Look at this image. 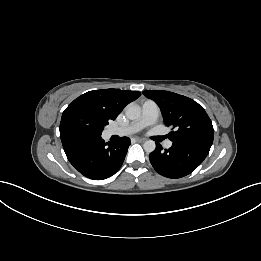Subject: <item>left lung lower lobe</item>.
I'll list each match as a JSON object with an SVG mask.
<instances>
[{"instance_id": "1", "label": "left lung lower lobe", "mask_w": 261, "mask_h": 261, "mask_svg": "<svg viewBox=\"0 0 261 261\" xmlns=\"http://www.w3.org/2000/svg\"><path fill=\"white\" fill-rule=\"evenodd\" d=\"M210 146L196 143H172L169 149L156 143L149 159L154 169L168 178H181L192 173L206 158Z\"/></svg>"}]
</instances>
